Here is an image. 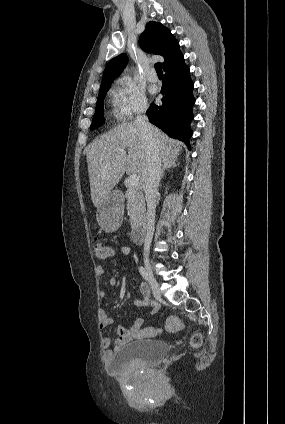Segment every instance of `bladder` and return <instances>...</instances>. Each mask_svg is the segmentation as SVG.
<instances>
[{
    "mask_svg": "<svg viewBox=\"0 0 285 424\" xmlns=\"http://www.w3.org/2000/svg\"><path fill=\"white\" fill-rule=\"evenodd\" d=\"M169 346L156 339L137 340L113 352L109 367L115 372L128 371L135 364L155 366L168 354Z\"/></svg>",
    "mask_w": 285,
    "mask_h": 424,
    "instance_id": "obj_1",
    "label": "bladder"
}]
</instances>
